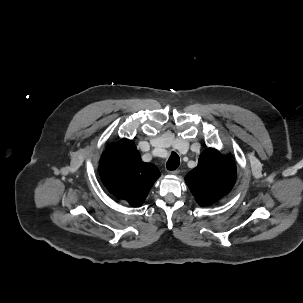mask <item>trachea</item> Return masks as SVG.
I'll return each instance as SVG.
<instances>
[{
    "label": "trachea",
    "mask_w": 303,
    "mask_h": 303,
    "mask_svg": "<svg viewBox=\"0 0 303 303\" xmlns=\"http://www.w3.org/2000/svg\"><path fill=\"white\" fill-rule=\"evenodd\" d=\"M179 164H180L179 156L175 152H172L166 164L167 169L173 171L179 166Z\"/></svg>",
    "instance_id": "trachea-1"
}]
</instances>
